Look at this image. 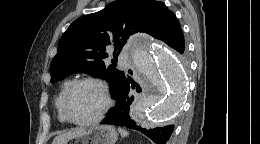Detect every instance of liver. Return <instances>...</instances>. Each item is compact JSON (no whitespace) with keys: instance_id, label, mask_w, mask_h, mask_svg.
<instances>
[{"instance_id":"1","label":"liver","mask_w":260,"mask_h":144,"mask_svg":"<svg viewBox=\"0 0 260 144\" xmlns=\"http://www.w3.org/2000/svg\"><path fill=\"white\" fill-rule=\"evenodd\" d=\"M84 131L83 128L68 131L64 134L58 135L54 138L52 144H67L73 137L79 135Z\"/></svg>"}]
</instances>
